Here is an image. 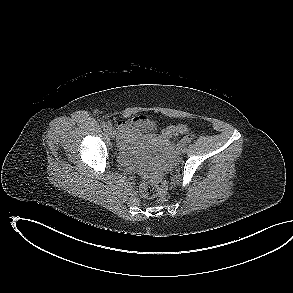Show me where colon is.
<instances>
[{
  "mask_svg": "<svg viewBox=\"0 0 293 293\" xmlns=\"http://www.w3.org/2000/svg\"><path fill=\"white\" fill-rule=\"evenodd\" d=\"M190 130L185 125H177L168 128L165 131V135H179V134H188ZM168 190V184L163 179H157L152 182H145L141 185L140 191L141 194L146 198L158 197L160 200H165Z\"/></svg>",
  "mask_w": 293,
  "mask_h": 293,
  "instance_id": "5ec220e1",
  "label": "colon"
}]
</instances>
